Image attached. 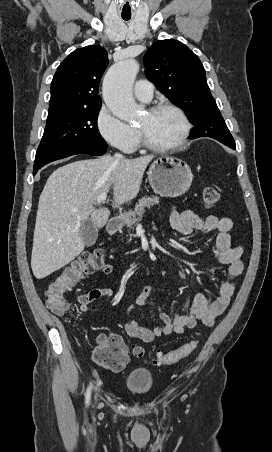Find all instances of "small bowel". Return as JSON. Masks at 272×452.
Listing matches in <instances>:
<instances>
[{
	"mask_svg": "<svg viewBox=\"0 0 272 452\" xmlns=\"http://www.w3.org/2000/svg\"><path fill=\"white\" fill-rule=\"evenodd\" d=\"M169 222L171 227L183 236H190L194 232L204 234L216 232L215 257L219 263L229 266L228 275L213 300H209L203 294H197L188 313L169 315L158 308V317L161 324L155 327L141 325L135 319L127 321L124 324L126 334L145 343H151L157 337L179 334L184 332L185 329L195 328L198 321L206 326L213 325L215 318L227 308L235 293L236 281L244 272L242 261L244 249L241 246H232L231 232L234 224L230 218H219L214 215L204 216L193 210L180 213L171 209L169 211ZM153 289L152 284L146 285L136 298L135 303L129 306L127 313L131 314L136 308L145 306L153 294ZM112 295L113 291L108 287L95 288L87 293L79 294L77 296L79 310L86 313L90 310L93 302L102 298H110ZM112 336L121 339L118 334H112ZM103 337L107 336L101 334L97 341Z\"/></svg>",
	"mask_w": 272,
	"mask_h": 452,
	"instance_id": "small-bowel-1",
	"label": "small bowel"
}]
</instances>
